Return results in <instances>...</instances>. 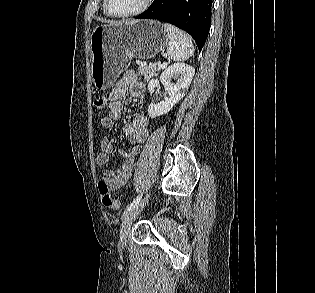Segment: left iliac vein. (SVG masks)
<instances>
[{"label": "left iliac vein", "mask_w": 315, "mask_h": 293, "mask_svg": "<svg viewBox=\"0 0 315 293\" xmlns=\"http://www.w3.org/2000/svg\"><path fill=\"white\" fill-rule=\"evenodd\" d=\"M148 201V196L139 202L135 207L126 212L122 218V224L120 229V241L122 246L126 245V238L128 230L133 222V220L140 214L141 210Z\"/></svg>", "instance_id": "left-iliac-vein-1"}]
</instances>
